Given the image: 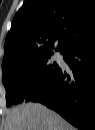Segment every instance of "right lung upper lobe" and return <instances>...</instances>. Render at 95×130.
<instances>
[{
	"label": "right lung upper lobe",
	"mask_w": 95,
	"mask_h": 130,
	"mask_svg": "<svg viewBox=\"0 0 95 130\" xmlns=\"http://www.w3.org/2000/svg\"><path fill=\"white\" fill-rule=\"evenodd\" d=\"M94 33L92 0H26L6 38L3 71L46 57L56 40L62 52Z\"/></svg>",
	"instance_id": "cb5924a9"
}]
</instances>
